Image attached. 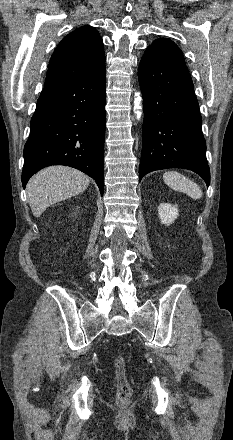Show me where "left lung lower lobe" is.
I'll return each instance as SVG.
<instances>
[{
  "mask_svg": "<svg viewBox=\"0 0 233 440\" xmlns=\"http://www.w3.org/2000/svg\"><path fill=\"white\" fill-rule=\"evenodd\" d=\"M138 79L144 107L139 181L151 171L184 168L209 186L202 118L187 67L145 53Z\"/></svg>",
  "mask_w": 233,
  "mask_h": 440,
  "instance_id": "0a47b994",
  "label": "left lung lower lobe"
}]
</instances>
